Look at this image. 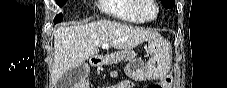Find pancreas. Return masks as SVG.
<instances>
[{"instance_id":"1","label":"pancreas","mask_w":227,"mask_h":88,"mask_svg":"<svg viewBox=\"0 0 227 88\" xmlns=\"http://www.w3.org/2000/svg\"><path fill=\"white\" fill-rule=\"evenodd\" d=\"M136 58V53L132 50H121L113 53L109 57H107V60L112 63H117L122 60H133Z\"/></svg>"}]
</instances>
